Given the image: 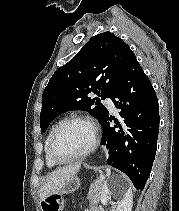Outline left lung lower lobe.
Masks as SVG:
<instances>
[{
	"label": "left lung lower lobe",
	"mask_w": 179,
	"mask_h": 211,
	"mask_svg": "<svg viewBox=\"0 0 179 211\" xmlns=\"http://www.w3.org/2000/svg\"><path fill=\"white\" fill-rule=\"evenodd\" d=\"M110 98L121 111L111 127L109 115L101 124V145L109 149L107 163L124 172L136 189L143 190L157 148L159 105L153 86L135 55H131Z\"/></svg>",
	"instance_id": "0a47b994"
}]
</instances>
